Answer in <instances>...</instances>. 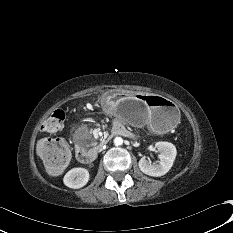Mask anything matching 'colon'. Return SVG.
I'll use <instances>...</instances> for the list:
<instances>
[{
    "mask_svg": "<svg viewBox=\"0 0 233 233\" xmlns=\"http://www.w3.org/2000/svg\"><path fill=\"white\" fill-rule=\"evenodd\" d=\"M66 112L55 110L42 123L41 130L46 134H54L62 129ZM37 153L46 171L51 175L61 173L68 166L71 151L67 142L61 138H42L37 144Z\"/></svg>",
    "mask_w": 233,
    "mask_h": 233,
    "instance_id": "obj_1",
    "label": "colon"
}]
</instances>
